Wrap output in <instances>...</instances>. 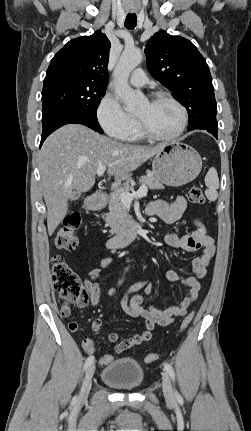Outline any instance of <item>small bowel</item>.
Masks as SVG:
<instances>
[{"instance_id": "small-bowel-1", "label": "small bowel", "mask_w": 251, "mask_h": 431, "mask_svg": "<svg viewBox=\"0 0 251 431\" xmlns=\"http://www.w3.org/2000/svg\"><path fill=\"white\" fill-rule=\"evenodd\" d=\"M187 202L184 197L178 196L173 201L157 200L152 202L146 209L148 215H155L166 223L178 221L185 209ZM166 245L182 249L187 252L200 251V254L192 261L193 276H180L176 271L167 269L165 276L170 282H180L188 288V294L179 305H168L162 309L155 307L150 301L152 284L148 280H142L131 286L129 291L120 301V308L130 317L142 318L144 330L134 334L126 339L120 340L117 332L109 333L106 340L110 343H116L115 350L122 353L133 349L134 347L146 343L151 339L152 331L156 325L166 326L174 318L184 316L193 302L197 299L201 289L200 279L204 278L207 268L214 256L215 245L213 238L208 235L200 222L196 223V228L191 233L179 236L174 233H168L164 236ZM113 257H106L101 260L99 267L93 268L86 272L84 286L86 288L89 302L91 305H97L100 299L101 288L98 279L102 274L111 269ZM144 290L145 294H136L129 299V294ZM102 318L96 317L91 324L94 333L100 331ZM76 329L71 331H76Z\"/></svg>"}]
</instances>
